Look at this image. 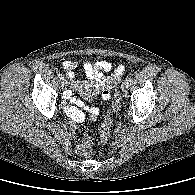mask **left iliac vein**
Segmentation results:
<instances>
[{"label":"left iliac vein","instance_id":"left-iliac-vein-1","mask_svg":"<svg viewBox=\"0 0 195 195\" xmlns=\"http://www.w3.org/2000/svg\"><path fill=\"white\" fill-rule=\"evenodd\" d=\"M129 86H130L129 82H128L127 80H125V81L122 83L121 88H122V90H123L124 92H127L128 89H129Z\"/></svg>","mask_w":195,"mask_h":195}]
</instances>
